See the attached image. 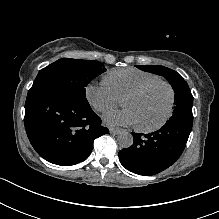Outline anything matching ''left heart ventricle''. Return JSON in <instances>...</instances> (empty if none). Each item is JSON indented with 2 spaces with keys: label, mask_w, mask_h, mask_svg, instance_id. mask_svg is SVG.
I'll list each match as a JSON object with an SVG mask.
<instances>
[{
  "label": "left heart ventricle",
  "mask_w": 219,
  "mask_h": 219,
  "mask_svg": "<svg viewBox=\"0 0 219 219\" xmlns=\"http://www.w3.org/2000/svg\"><path fill=\"white\" fill-rule=\"evenodd\" d=\"M169 102V89L163 84H158L136 97L124 99L122 105L136 114L139 126L150 127L163 120Z\"/></svg>",
  "instance_id": "b2bd125f"
}]
</instances>
